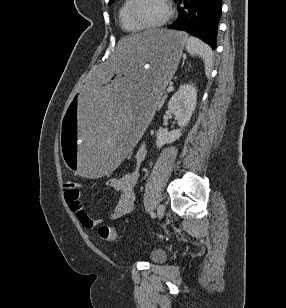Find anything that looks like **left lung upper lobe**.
<instances>
[{
	"label": "left lung upper lobe",
	"instance_id": "left-lung-upper-lobe-1",
	"mask_svg": "<svg viewBox=\"0 0 286 308\" xmlns=\"http://www.w3.org/2000/svg\"><path fill=\"white\" fill-rule=\"evenodd\" d=\"M115 0H109V4H112Z\"/></svg>",
	"mask_w": 286,
	"mask_h": 308
}]
</instances>
